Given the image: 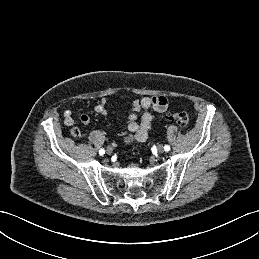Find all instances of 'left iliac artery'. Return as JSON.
Listing matches in <instances>:
<instances>
[{"mask_svg": "<svg viewBox=\"0 0 259 259\" xmlns=\"http://www.w3.org/2000/svg\"><path fill=\"white\" fill-rule=\"evenodd\" d=\"M164 150H165V151H169V150H170V146H169V145H165V146H164Z\"/></svg>", "mask_w": 259, "mask_h": 259, "instance_id": "44dca946", "label": "left iliac artery"}]
</instances>
